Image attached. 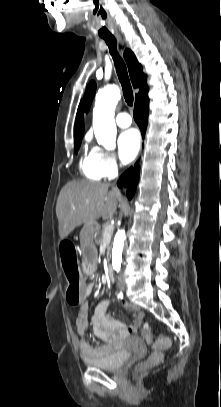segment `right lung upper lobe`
<instances>
[{"label": "right lung upper lobe", "mask_w": 221, "mask_h": 407, "mask_svg": "<svg viewBox=\"0 0 221 407\" xmlns=\"http://www.w3.org/2000/svg\"><path fill=\"white\" fill-rule=\"evenodd\" d=\"M124 57H125L127 65H128L130 78H131L134 88H137V87L140 88V91L138 92V94L135 95V104H137L138 102H140L148 97V95H147L148 86L146 84V76L143 73L142 66L138 63L135 55L133 54V52L131 50L126 49L124 52ZM83 130H84V122H83V114H82V104L80 103L78 110H77L76 121H75L74 143L81 142V139L83 137Z\"/></svg>", "instance_id": "cb5924a9"}]
</instances>
